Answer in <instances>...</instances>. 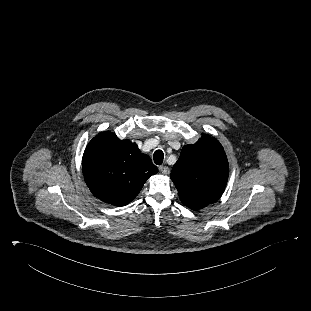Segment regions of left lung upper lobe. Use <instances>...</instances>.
I'll use <instances>...</instances> for the list:
<instances>
[{
  "mask_svg": "<svg viewBox=\"0 0 311 311\" xmlns=\"http://www.w3.org/2000/svg\"><path fill=\"white\" fill-rule=\"evenodd\" d=\"M228 174V160L222 145L214 137L202 134L195 144L182 148L170 177L182 203L199 209L221 197Z\"/></svg>",
  "mask_w": 311,
  "mask_h": 311,
  "instance_id": "obj_1",
  "label": "left lung upper lobe"
}]
</instances>
